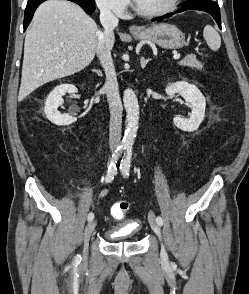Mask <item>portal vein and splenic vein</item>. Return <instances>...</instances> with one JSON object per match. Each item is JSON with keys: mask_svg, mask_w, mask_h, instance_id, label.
<instances>
[{"mask_svg": "<svg viewBox=\"0 0 249 294\" xmlns=\"http://www.w3.org/2000/svg\"><path fill=\"white\" fill-rule=\"evenodd\" d=\"M180 57H181L180 54H175V55L173 56L174 59H180Z\"/></svg>", "mask_w": 249, "mask_h": 294, "instance_id": "obj_1", "label": "portal vein and splenic vein"}]
</instances>
